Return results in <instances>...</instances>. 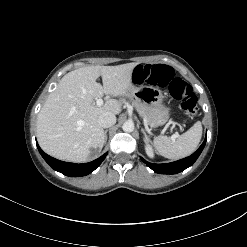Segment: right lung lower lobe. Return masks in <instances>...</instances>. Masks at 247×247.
Listing matches in <instances>:
<instances>
[{"label": "right lung lower lobe", "mask_w": 247, "mask_h": 247, "mask_svg": "<svg viewBox=\"0 0 247 247\" xmlns=\"http://www.w3.org/2000/svg\"><path fill=\"white\" fill-rule=\"evenodd\" d=\"M37 144V142H36ZM37 148L44 158V160L56 171L70 177H80L85 176L93 172L105 159L107 153L103 154L98 159L84 164H75V163H68L57 160L55 158L50 157L37 144Z\"/></svg>", "instance_id": "obj_1"}]
</instances>
